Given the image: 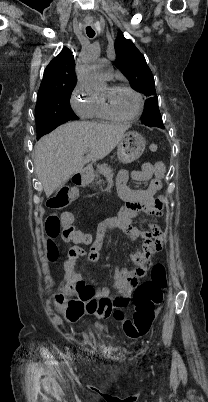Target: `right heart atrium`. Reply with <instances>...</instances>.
Wrapping results in <instances>:
<instances>
[{
  "label": "right heart atrium",
  "instance_id": "1",
  "mask_svg": "<svg viewBox=\"0 0 208 402\" xmlns=\"http://www.w3.org/2000/svg\"><path fill=\"white\" fill-rule=\"evenodd\" d=\"M94 94L90 93L84 86L78 81L70 94L71 107L77 112V114L83 119H91L94 109Z\"/></svg>",
  "mask_w": 208,
  "mask_h": 402
}]
</instances>
